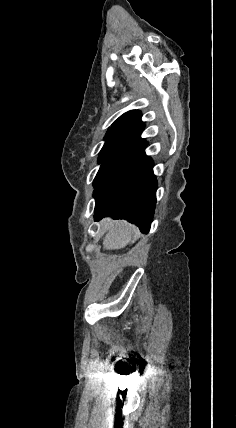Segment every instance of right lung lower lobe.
<instances>
[{"instance_id": "obj_1", "label": "right lung lower lobe", "mask_w": 236, "mask_h": 428, "mask_svg": "<svg viewBox=\"0 0 236 428\" xmlns=\"http://www.w3.org/2000/svg\"><path fill=\"white\" fill-rule=\"evenodd\" d=\"M153 162L144 152L124 175L95 204V220L106 216L126 219L148 232L156 206L157 181Z\"/></svg>"}]
</instances>
